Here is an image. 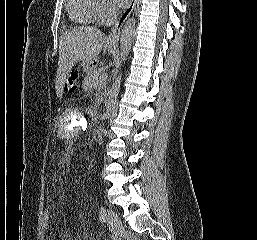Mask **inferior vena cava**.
I'll return each instance as SVG.
<instances>
[{
	"label": "inferior vena cava",
	"instance_id": "inferior-vena-cava-1",
	"mask_svg": "<svg viewBox=\"0 0 257 240\" xmlns=\"http://www.w3.org/2000/svg\"><path fill=\"white\" fill-rule=\"evenodd\" d=\"M118 9L114 6H110L108 9L107 26H112L117 22Z\"/></svg>",
	"mask_w": 257,
	"mask_h": 240
}]
</instances>
